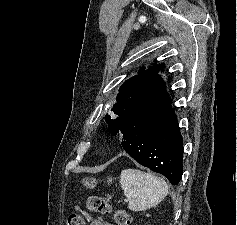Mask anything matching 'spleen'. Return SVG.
<instances>
[{
	"label": "spleen",
	"instance_id": "1",
	"mask_svg": "<svg viewBox=\"0 0 237 225\" xmlns=\"http://www.w3.org/2000/svg\"><path fill=\"white\" fill-rule=\"evenodd\" d=\"M120 184L128 199V207L135 212L158 205L168 194V184L158 176L137 169H125Z\"/></svg>",
	"mask_w": 237,
	"mask_h": 225
}]
</instances>
